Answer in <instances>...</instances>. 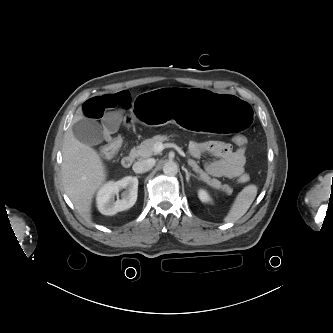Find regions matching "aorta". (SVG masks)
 <instances>
[{"mask_svg":"<svg viewBox=\"0 0 333 333\" xmlns=\"http://www.w3.org/2000/svg\"><path fill=\"white\" fill-rule=\"evenodd\" d=\"M163 172L167 176H175L178 173V167L174 162H167L163 166Z\"/></svg>","mask_w":333,"mask_h":333,"instance_id":"aorta-1","label":"aorta"}]
</instances>
